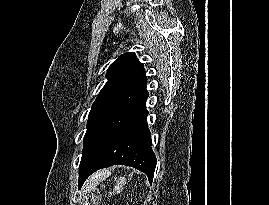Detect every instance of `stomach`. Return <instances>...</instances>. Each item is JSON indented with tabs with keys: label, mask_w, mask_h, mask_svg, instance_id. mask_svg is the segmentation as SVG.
Here are the masks:
<instances>
[{
	"label": "stomach",
	"mask_w": 269,
	"mask_h": 205,
	"mask_svg": "<svg viewBox=\"0 0 269 205\" xmlns=\"http://www.w3.org/2000/svg\"><path fill=\"white\" fill-rule=\"evenodd\" d=\"M98 199H99V196H98V195H97V196L95 195V196L92 197V201H93L94 203H95Z\"/></svg>",
	"instance_id": "0dacf381"
}]
</instances>
